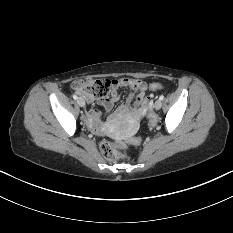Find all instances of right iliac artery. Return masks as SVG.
<instances>
[{"label": "right iliac artery", "instance_id": "82829eb1", "mask_svg": "<svg viewBox=\"0 0 233 233\" xmlns=\"http://www.w3.org/2000/svg\"><path fill=\"white\" fill-rule=\"evenodd\" d=\"M73 98H74L75 100H77V99H78V97H77L76 95H73Z\"/></svg>", "mask_w": 233, "mask_h": 233}]
</instances>
